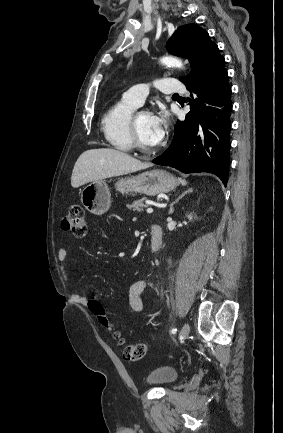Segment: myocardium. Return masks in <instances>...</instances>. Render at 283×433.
Listing matches in <instances>:
<instances>
[{"mask_svg": "<svg viewBox=\"0 0 283 433\" xmlns=\"http://www.w3.org/2000/svg\"><path fill=\"white\" fill-rule=\"evenodd\" d=\"M131 136H132V147L140 153H147L148 151L143 148V143L140 140L138 129H137V117L132 118L131 121Z\"/></svg>", "mask_w": 283, "mask_h": 433, "instance_id": "f54148a6", "label": "myocardium"}]
</instances>
